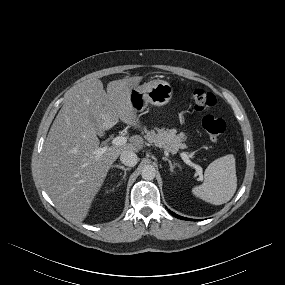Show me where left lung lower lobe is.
Wrapping results in <instances>:
<instances>
[{
  "label": "left lung lower lobe",
  "mask_w": 285,
  "mask_h": 285,
  "mask_svg": "<svg viewBox=\"0 0 285 285\" xmlns=\"http://www.w3.org/2000/svg\"><path fill=\"white\" fill-rule=\"evenodd\" d=\"M173 216H175V217H177V218H179V219H183V220H192V219H189V218H185V217H182V216H179V215H177V214H175L174 212H172V211H169Z\"/></svg>",
  "instance_id": "0a47b994"
}]
</instances>
